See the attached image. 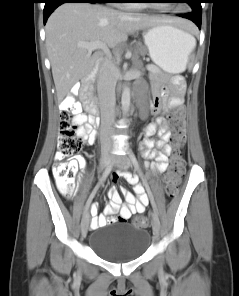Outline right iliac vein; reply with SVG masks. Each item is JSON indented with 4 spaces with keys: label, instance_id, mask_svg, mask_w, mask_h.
Segmentation results:
<instances>
[{
    "label": "right iliac vein",
    "instance_id": "obj_1",
    "mask_svg": "<svg viewBox=\"0 0 239 296\" xmlns=\"http://www.w3.org/2000/svg\"><path fill=\"white\" fill-rule=\"evenodd\" d=\"M111 162V157L109 153H104L102 154L101 161H100V167L101 169L106 168L109 163ZM87 214L83 216L82 221H81V234L83 237H86L88 229H89V213L86 212Z\"/></svg>",
    "mask_w": 239,
    "mask_h": 296
}]
</instances>
